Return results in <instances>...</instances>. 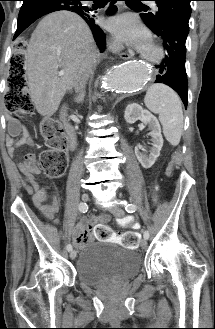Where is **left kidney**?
Listing matches in <instances>:
<instances>
[{"mask_svg":"<svg viewBox=\"0 0 215 329\" xmlns=\"http://www.w3.org/2000/svg\"><path fill=\"white\" fill-rule=\"evenodd\" d=\"M124 118L127 123L133 124L137 120H141L145 125H148L151 130L150 136L152 141V148L149 155H144L139 152V147H135V155L142 165V167L148 169L155 163L156 159L160 155L161 148L163 146V137L161 134V127L157 118L152 115L148 110L143 109L139 104H129L125 109Z\"/></svg>","mask_w":215,"mask_h":329,"instance_id":"1","label":"left kidney"}]
</instances>
